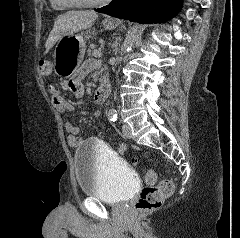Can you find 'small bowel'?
I'll return each instance as SVG.
<instances>
[{
	"instance_id": "c3829d8e",
	"label": "small bowel",
	"mask_w": 240,
	"mask_h": 238,
	"mask_svg": "<svg viewBox=\"0 0 240 238\" xmlns=\"http://www.w3.org/2000/svg\"><path fill=\"white\" fill-rule=\"evenodd\" d=\"M98 67V63L94 60H88L86 61L79 73L78 77L71 79V80H64L60 83V88H57L54 85L49 86V92L51 94V101L54 107L60 111V112H72L75 110L74 106L66 100L62 93L64 91L70 90L73 92V94L77 98H81L84 95V86L81 82V77L87 74L89 71L92 69H95ZM100 105V104H99ZM81 114H86L87 112L82 111L80 112ZM99 111H95V115H98ZM65 130L68 134L67 137V142L71 147H78L81 144V139L78 137L79 134V128L75 126L74 124L67 122L65 124ZM129 144L128 143H122L121 146L118 148V153L119 154H126V149L128 148ZM132 164H134L136 167L139 165V157L138 156H133L132 157ZM140 174L144 173L143 169L139 170Z\"/></svg>"
}]
</instances>
